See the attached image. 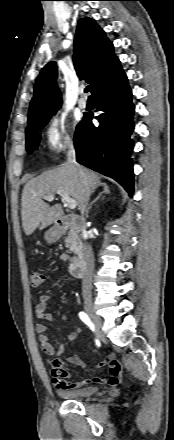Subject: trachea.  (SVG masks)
I'll return each mask as SVG.
<instances>
[{
  "instance_id": "trachea-1",
  "label": "trachea",
  "mask_w": 174,
  "mask_h": 440,
  "mask_svg": "<svg viewBox=\"0 0 174 440\" xmlns=\"http://www.w3.org/2000/svg\"><path fill=\"white\" fill-rule=\"evenodd\" d=\"M90 91V86H87L86 88H85V92H89Z\"/></svg>"
}]
</instances>
